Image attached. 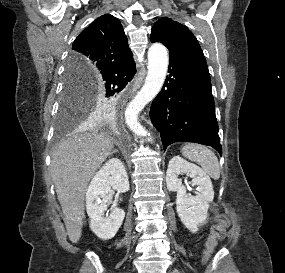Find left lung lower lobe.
Returning a JSON list of instances; mask_svg holds the SVG:
<instances>
[{
    "label": "left lung lower lobe",
    "mask_w": 285,
    "mask_h": 273,
    "mask_svg": "<svg viewBox=\"0 0 285 273\" xmlns=\"http://www.w3.org/2000/svg\"><path fill=\"white\" fill-rule=\"evenodd\" d=\"M169 55V75L150 109L164 150L175 142H195L222 155L209 71L176 53Z\"/></svg>",
    "instance_id": "1"
}]
</instances>
